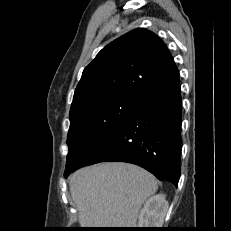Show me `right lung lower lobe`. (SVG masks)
Masks as SVG:
<instances>
[{
    "label": "right lung lower lobe",
    "mask_w": 231,
    "mask_h": 231,
    "mask_svg": "<svg viewBox=\"0 0 231 231\" xmlns=\"http://www.w3.org/2000/svg\"><path fill=\"white\" fill-rule=\"evenodd\" d=\"M182 104L180 84L141 98L137 111L95 146L74 170L104 161L136 164L177 186L180 178Z\"/></svg>",
    "instance_id": "1"
}]
</instances>
